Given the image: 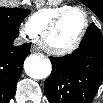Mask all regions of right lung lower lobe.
<instances>
[{
    "mask_svg": "<svg viewBox=\"0 0 103 103\" xmlns=\"http://www.w3.org/2000/svg\"><path fill=\"white\" fill-rule=\"evenodd\" d=\"M17 36L0 31V103L9 102L13 97L23 62L29 54V43L15 46Z\"/></svg>",
    "mask_w": 103,
    "mask_h": 103,
    "instance_id": "obj_1",
    "label": "right lung lower lobe"
}]
</instances>
